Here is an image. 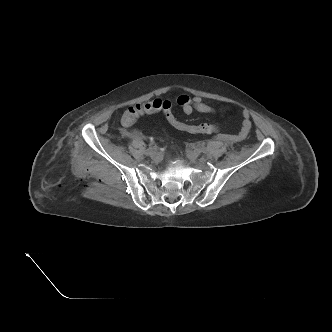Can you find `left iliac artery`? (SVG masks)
<instances>
[{
	"label": "left iliac artery",
	"mask_w": 332,
	"mask_h": 332,
	"mask_svg": "<svg viewBox=\"0 0 332 332\" xmlns=\"http://www.w3.org/2000/svg\"><path fill=\"white\" fill-rule=\"evenodd\" d=\"M195 152L199 155V154H201V153H204L205 150H204L203 147H197V148L195 149Z\"/></svg>",
	"instance_id": "1"
}]
</instances>
